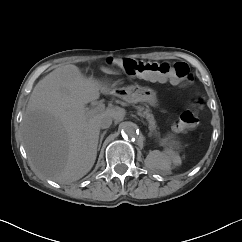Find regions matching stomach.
Returning a JSON list of instances; mask_svg holds the SVG:
<instances>
[{
	"mask_svg": "<svg viewBox=\"0 0 242 242\" xmlns=\"http://www.w3.org/2000/svg\"><path fill=\"white\" fill-rule=\"evenodd\" d=\"M114 90L117 96L129 103L146 102L151 106L157 105V94L149 87L131 85Z\"/></svg>",
	"mask_w": 242,
	"mask_h": 242,
	"instance_id": "0dacf381",
	"label": "stomach"
}]
</instances>
